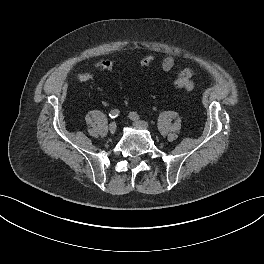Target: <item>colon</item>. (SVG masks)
<instances>
[{
	"instance_id": "colon-1",
	"label": "colon",
	"mask_w": 264,
	"mask_h": 264,
	"mask_svg": "<svg viewBox=\"0 0 264 264\" xmlns=\"http://www.w3.org/2000/svg\"><path fill=\"white\" fill-rule=\"evenodd\" d=\"M154 57L152 55L144 56L140 63L142 66H149L153 63ZM103 70H111L113 67V62L111 60H103L98 65ZM192 72L190 69H184L180 72L179 76L174 80L173 85L176 89L181 90H192L194 88V84L191 81Z\"/></svg>"
}]
</instances>
